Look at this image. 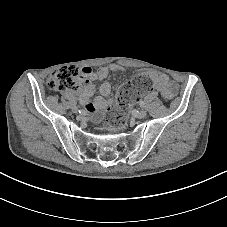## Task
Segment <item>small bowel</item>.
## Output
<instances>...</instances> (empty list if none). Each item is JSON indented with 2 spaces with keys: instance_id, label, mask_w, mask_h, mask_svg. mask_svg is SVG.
<instances>
[{
  "instance_id": "1",
  "label": "small bowel",
  "mask_w": 227,
  "mask_h": 227,
  "mask_svg": "<svg viewBox=\"0 0 227 227\" xmlns=\"http://www.w3.org/2000/svg\"><path fill=\"white\" fill-rule=\"evenodd\" d=\"M110 71L124 72L125 68L122 65L113 63L109 66L100 67L96 71L88 66L83 67L81 70V87L78 90L79 98L83 103L85 110L96 118L100 117L101 113L111 102V100L107 99V96L111 92V85L107 82H103L96 88L92 84V81L105 79ZM146 75L152 80L150 96H153L156 92H159L166 100H171L176 96L178 92V85L176 82L170 80L166 75L156 71H150L146 73ZM95 93H97V96L92 98Z\"/></svg>"
}]
</instances>
